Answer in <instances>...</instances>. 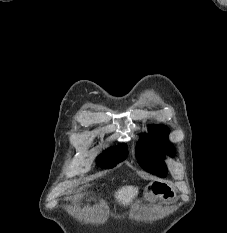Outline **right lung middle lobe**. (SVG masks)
Returning a JSON list of instances; mask_svg holds the SVG:
<instances>
[{
    "instance_id": "right-lung-middle-lobe-1",
    "label": "right lung middle lobe",
    "mask_w": 227,
    "mask_h": 233,
    "mask_svg": "<svg viewBox=\"0 0 227 233\" xmlns=\"http://www.w3.org/2000/svg\"><path fill=\"white\" fill-rule=\"evenodd\" d=\"M127 154V148L123 145L117 148H110L97 158V164L103 168H113L117 163L124 160Z\"/></svg>"
}]
</instances>
